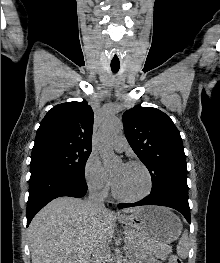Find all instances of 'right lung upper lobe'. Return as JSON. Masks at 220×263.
<instances>
[{
    "instance_id": "right-lung-upper-lobe-1",
    "label": "right lung upper lobe",
    "mask_w": 220,
    "mask_h": 263,
    "mask_svg": "<svg viewBox=\"0 0 220 263\" xmlns=\"http://www.w3.org/2000/svg\"><path fill=\"white\" fill-rule=\"evenodd\" d=\"M93 118L86 101L56 105L41 121L32 153L49 148L91 149Z\"/></svg>"
}]
</instances>
